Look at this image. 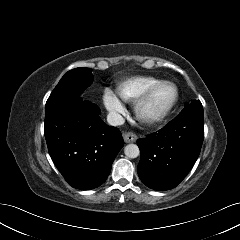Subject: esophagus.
Masks as SVG:
<instances>
[{
	"mask_svg": "<svg viewBox=\"0 0 240 240\" xmlns=\"http://www.w3.org/2000/svg\"><path fill=\"white\" fill-rule=\"evenodd\" d=\"M123 137L126 143H132L137 140V135L132 132L125 133Z\"/></svg>",
	"mask_w": 240,
	"mask_h": 240,
	"instance_id": "34e87169",
	"label": "esophagus"
}]
</instances>
